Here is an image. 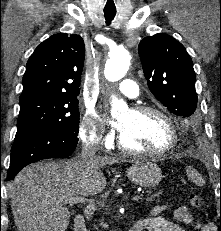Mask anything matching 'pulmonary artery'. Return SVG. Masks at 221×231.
<instances>
[{
  "label": "pulmonary artery",
  "mask_w": 221,
  "mask_h": 231,
  "mask_svg": "<svg viewBox=\"0 0 221 231\" xmlns=\"http://www.w3.org/2000/svg\"><path fill=\"white\" fill-rule=\"evenodd\" d=\"M119 91L129 97V98H138L140 96V92L138 89L137 84L129 79L123 80L119 85H118Z\"/></svg>",
  "instance_id": "1"
}]
</instances>
